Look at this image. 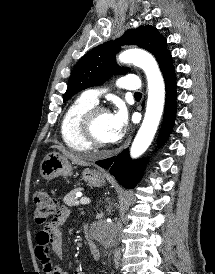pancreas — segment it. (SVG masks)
Segmentation results:
<instances>
[{
  "label": "pancreas",
  "mask_w": 215,
  "mask_h": 274,
  "mask_svg": "<svg viewBox=\"0 0 215 274\" xmlns=\"http://www.w3.org/2000/svg\"><path fill=\"white\" fill-rule=\"evenodd\" d=\"M81 190H82L81 188H76L73 191H71L70 193H68L63 199L65 204L69 207L79 205V202L77 201V198H76V193Z\"/></svg>",
  "instance_id": "1"
}]
</instances>
